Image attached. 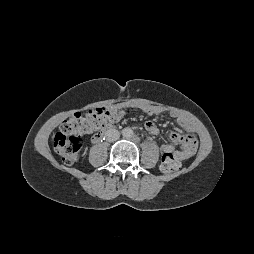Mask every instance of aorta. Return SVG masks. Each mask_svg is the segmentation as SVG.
Instances as JSON below:
<instances>
[{
	"label": "aorta",
	"instance_id": "aorta-1",
	"mask_svg": "<svg viewBox=\"0 0 254 254\" xmlns=\"http://www.w3.org/2000/svg\"><path fill=\"white\" fill-rule=\"evenodd\" d=\"M122 135H123L124 138L128 139V138L133 137L134 132H133V130L131 128H124L122 130Z\"/></svg>",
	"mask_w": 254,
	"mask_h": 254
}]
</instances>
